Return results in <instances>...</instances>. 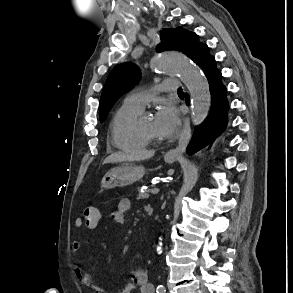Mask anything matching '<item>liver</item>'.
Masks as SVG:
<instances>
[{
    "label": "liver",
    "instance_id": "liver-1",
    "mask_svg": "<svg viewBox=\"0 0 293 293\" xmlns=\"http://www.w3.org/2000/svg\"><path fill=\"white\" fill-rule=\"evenodd\" d=\"M154 151H139L132 154H125L122 152H117L109 155L105 160L104 164L107 163H117L123 161H141L146 160L154 156Z\"/></svg>",
    "mask_w": 293,
    "mask_h": 293
}]
</instances>
